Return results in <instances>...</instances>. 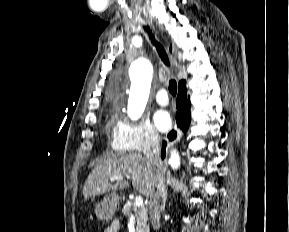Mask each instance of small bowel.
<instances>
[{"label": "small bowel", "instance_id": "obj_1", "mask_svg": "<svg viewBox=\"0 0 289 232\" xmlns=\"http://www.w3.org/2000/svg\"><path fill=\"white\" fill-rule=\"evenodd\" d=\"M120 229V224L118 221H113L111 222V224L106 227V229L104 230V232H118Z\"/></svg>", "mask_w": 289, "mask_h": 232}]
</instances>
